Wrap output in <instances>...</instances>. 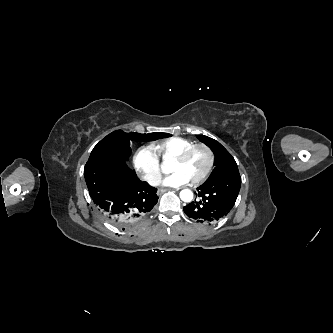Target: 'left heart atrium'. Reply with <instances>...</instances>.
<instances>
[{"label": "left heart atrium", "mask_w": 333, "mask_h": 333, "mask_svg": "<svg viewBox=\"0 0 333 333\" xmlns=\"http://www.w3.org/2000/svg\"><path fill=\"white\" fill-rule=\"evenodd\" d=\"M189 182L190 180L186 175L181 172H174L164 179L163 184L169 187H180Z\"/></svg>", "instance_id": "1"}]
</instances>
